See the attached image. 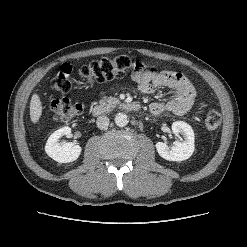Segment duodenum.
<instances>
[{
  "instance_id": "obj_1",
  "label": "duodenum",
  "mask_w": 247,
  "mask_h": 247,
  "mask_svg": "<svg viewBox=\"0 0 247 247\" xmlns=\"http://www.w3.org/2000/svg\"><path fill=\"white\" fill-rule=\"evenodd\" d=\"M116 107L129 111V112H138L141 109L140 105L136 102H120L117 104L100 103L93 107L92 114L94 116L104 115L106 113H109Z\"/></svg>"
}]
</instances>
